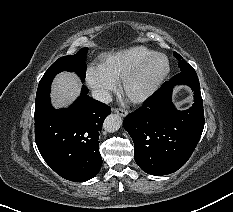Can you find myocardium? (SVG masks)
Instances as JSON below:
<instances>
[{
  "label": "myocardium",
  "instance_id": "myocardium-1",
  "mask_svg": "<svg viewBox=\"0 0 233 212\" xmlns=\"http://www.w3.org/2000/svg\"><path fill=\"white\" fill-rule=\"evenodd\" d=\"M161 57L166 62V68L164 72L158 77V79L146 90L138 93V94H132L130 92V85L132 82L137 78V76L140 74V72L145 68V66L150 63L153 59ZM170 73V61L168 57L162 53H154L145 59H143L141 62H139L134 68H132L122 79V91L125 97L131 101L132 103H143L146 100H148L150 97H152L158 89L161 87L165 79Z\"/></svg>",
  "mask_w": 233,
  "mask_h": 212
}]
</instances>
